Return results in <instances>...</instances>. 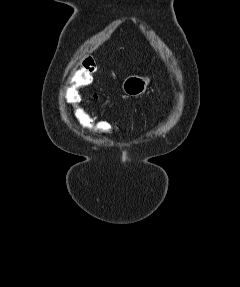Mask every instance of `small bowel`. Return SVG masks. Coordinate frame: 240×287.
Segmentation results:
<instances>
[{
	"label": "small bowel",
	"mask_w": 240,
	"mask_h": 287,
	"mask_svg": "<svg viewBox=\"0 0 240 287\" xmlns=\"http://www.w3.org/2000/svg\"><path fill=\"white\" fill-rule=\"evenodd\" d=\"M90 100H92V101H97V100H99V96L97 95V94H92V95H90Z\"/></svg>",
	"instance_id": "c3829d8e"
}]
</instances>
